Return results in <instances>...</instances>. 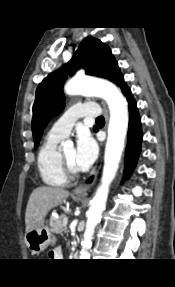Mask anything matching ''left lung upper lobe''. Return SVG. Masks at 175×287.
I'll return each mask as SVG.
<instances>
[{"instance_id":"5c2ea615","label":"left lung upper lobe","mask_w":175,"mask_h":287,"mask_svg":"<svg viewBox=\"0 0 175 287\" xmlns=\"http://www.w3.org/2000/svg\"><path fill=\"white\" fill-rule=\"evenodd\" d=\"M82 67L87 75L108 79L121 89L127 86L111 49L99 39L85 38L72 59L37 87L32 119L35 149L50 119L64 108L63 85L67 76H73Z\"/></svg>"}]
</instances>
